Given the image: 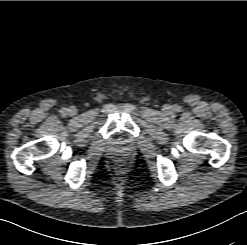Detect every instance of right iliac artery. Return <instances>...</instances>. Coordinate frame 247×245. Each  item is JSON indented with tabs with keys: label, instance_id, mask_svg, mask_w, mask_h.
I'll list each match as a JSON object with an SVG mask.
<instances>
[{
	"label": "right iliac artery",
	"instance_id": "obj_1",
	"mask_svg": "<svg viewBox=\"0 0 247 245\" xmlns=\"http://www.w3.org/2000/svg\"><path fill=\"white\" fill-rule=\"evenodd\" d=\"M67 111H68V109H66V108H62V110H61V114H62V115H66V114H67Z\"/></svg>",
	"mask_w": 247,
	"mask_h": 245
}]
</instances>
